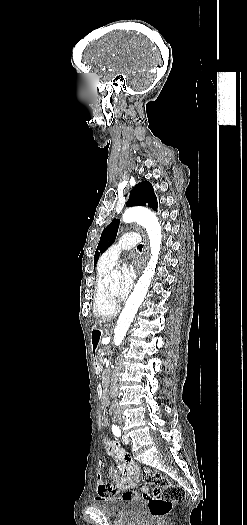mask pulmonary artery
Masks as SVG:
<instances>
[{
  "label": "pulmonary artery",
  "mask_w": 247,
  "mask_h": 525,
  "mask_svg": "<svg viewBox=\"0 0 247 525\" xmlns=\"http://www.w3.org/2000/svg\"><path fill=\"white\" fill-rule=\"evenodd\" d=\"M141 242V236H132V232L122 234L117 241L112 244L104 253V260L107 265L112 264L122 250L134 248Z\"/></svg>",
  "instance_id": "obj_1"
}]
</instances>
